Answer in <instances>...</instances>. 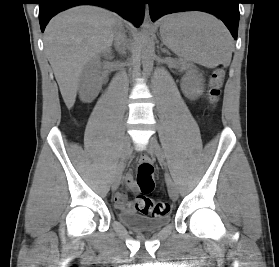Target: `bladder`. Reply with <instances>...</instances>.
Instances as JSON below:
<instances>
[{
	"instance_id": "1",
	"label": "bladder",
	"mask_w": 279,
	"mask_h": 267,
	"mask_svg": "<svg viewBox=\"0 0 279 267\" xmlns=\"http://www.w3.org/2000/svg\"><path fill=\"white\" fill-rule=\"evenodd\" d=\"M118 219L125 226L142 232H154L164 227L169 222V216L162 215L149 217L134 211H123L118 214Z\"/></svg>"
}]
</instances>
